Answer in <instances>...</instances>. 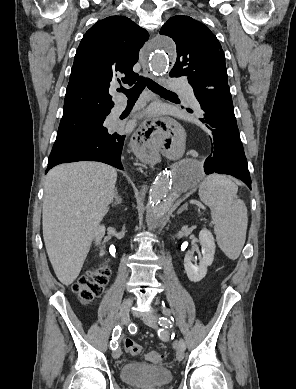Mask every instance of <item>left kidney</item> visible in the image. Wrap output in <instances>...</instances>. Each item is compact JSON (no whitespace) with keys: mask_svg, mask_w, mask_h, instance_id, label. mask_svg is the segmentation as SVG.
Returning a JSON list of instances; mask_svg holds the SVG:
<instances>
[{"mask_svg":"<svg viewBox=\"0 0 296 389\" xmlns=\"http://www.w3.org/2000/svg\"><path fill=\"white\" fill-rule=\"evenodd\" d=\"M199 241L202 247V255L199 260V264L193 263V255L191 251L184 257V268L187 274V277L191 282L201 281L207 273V268L210 266L214 260L215 254V241L212 233L203 228L199 233Z\"/></svg>","mask_w":296,"mask_h":389,"instance_id":"1","label":"left kidney"}]
</instances>
